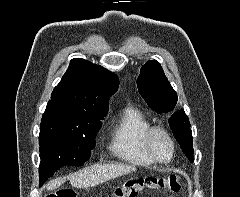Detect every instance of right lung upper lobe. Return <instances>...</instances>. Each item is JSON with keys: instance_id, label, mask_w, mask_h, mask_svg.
I'll return each mask as SVG.
<instances>
[{"instance_id": "obj_1", "label": "right lung upper lobe", "mask_w": 240, "mask_h": 197, "mask_svg": "<svg viewBox=\"0 0 240 197\" xmlns=\"http://www.w3.org/2000/svg\"><path fill=\"white\" fill-rule=\"evenodd\" d=\"M118 86L119 78L102 66L80 58L72 59L51 94L43 118L101 120Z\"/></svg>"}]
</instances>
